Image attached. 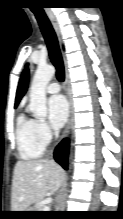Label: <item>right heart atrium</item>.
I'll return each instance as SVG.
<instances>
[{"instance_id": "obj_1", "label": "right heart atrium", "mask_w": 123, "mask_h": 219, "mask_svg": "<svg viewBox=\"0 0 123 219\" xmlns=\"http://www.w3.org/2000/svg\"><path fill=\"white\" fill-rule=\"evenodd\" d=\"M37 129H38L40 138L42 139L44 144H47L53 136V131L51 130L47 122L44 120H38Z\"/></svg>"}]
</instances>
